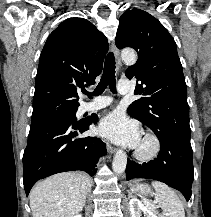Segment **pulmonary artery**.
<instances>
[{
  "mask_svg": "<svg viewBox=\"0 0 211 217\" xmlns=\"http://www.w3.org/2000/svg\"><path fill=\"white\" fill-rule=\"evenodd\" d=\"M131 91V83L128 79H120L118 82V92L122 95H126ZM111 98L97 97L91 102L82 104V112H91L102 109L111 103Z\"/></svg>",
  "mask_w": 211,
  "mask_h": 217,
  "instance_id": "obj_1",
  "label": "pulmonary artery"
}]
</instances>
